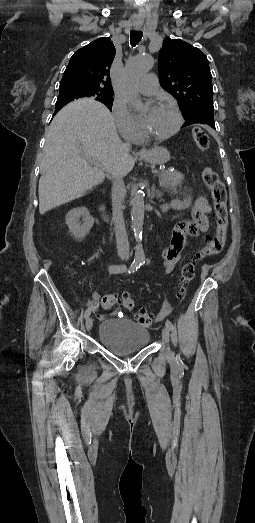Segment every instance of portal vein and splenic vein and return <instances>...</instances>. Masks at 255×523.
I'll use <instances>...</instances> for the list:
<instances>
[{
	"label": "portal vein and splenic vein",
	"mask_w": 255,
	"mask_h": 523,
	"mask_svg": "<svg viewBox=\"0 0 255 523\" xmlns=\"http://www.w3.org/2000/svg\"><path fill=\"white\" fill-rule=\"evenodd\" d=\"M83 156H85V152H83ZM94 162H97V160H94ZM95 167H98V164H95ZM150 174H151L152 176L160 175V170L152 169V170L150 171Z\"/></svg>",
	"instance_id": "18ae733b"
}]
</instances>
